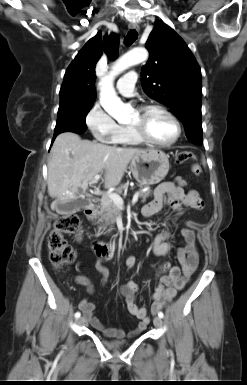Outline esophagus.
Returning <instances> with one entry per match:
<instances>
[{
    "mask_svg": "<svg viewBox=\"0 0 247 385\" xmlns=\"http://www.w3.org/2000/svg\"><path fill=\"white\" fill-rule=\"evenodd\" d=\"M129 29L130 30H136V31H139V25L138 24H136V23H131V24H129Z\"/></svg>",
    "mask_w": 247,
    "mask_h": 385,
    "instance_id": "esophagus-1",
    "label": "esophagus"
}]
</instances>
